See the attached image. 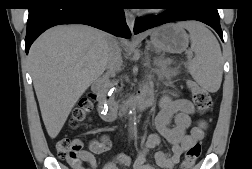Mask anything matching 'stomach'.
Masks as SVG:
<instances>
[{"label": "stomach", "mask_w": 252, "mask_h": 169, "mask_svg": "<svg viewBox=\"0 0 252 169\" xmlns=\"http://www.w3.org/2000/svg\"><path fill=\"white\" fill-rule=\"evenodd\" d=\"M151 43L158 50L181 53L188 47L189 36L180 24L169 23L152 32Z\"/></svg>", "instance_id": "stomach-1"}]
</instances>
